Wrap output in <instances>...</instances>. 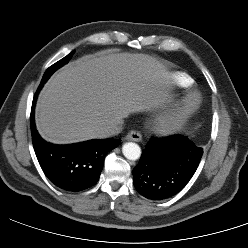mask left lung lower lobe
<instances>
[{"label": "left lung lower lobe", "mask_w": 248, "mask_h": 248, "mask_svg": "<svg viewBox=\"0 0 248 248\" xmlns=\"http://www.w3.org/2000/svg\"><path fill=\"white\" fill-rule=\"evenodd\" d=\"M203 148L183 135L151 139L133 169V183L142 196L164 200L179 193L194 175Z\"/></svg>", "instance_id": "1"}]
</instances>
